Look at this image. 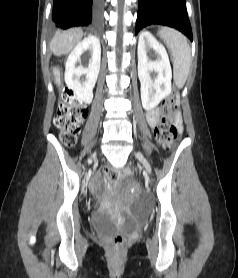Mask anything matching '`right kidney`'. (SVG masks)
Masks as SVG:
<instances>
[{
  "label": "right kidney",
  "mask_w": 238,
  "mask_h": 278,
  "mask_svg": "<svg viewBox=\"0 0 238 278\" xmlns=\"http://www.w3.org/2000/svg\"><path fill=\"white\" fill-rule=\"evenodd\" d=\"M90 49L92 52L89 66L83 68L76 67V63L80 61L82 53ZM101 61L100 41L95 36H88L73 49L67 58L65 64V82L71 88L77 97L87 104L93 99V88L98 78ZM86 75L84 83L80 82V77Z\"/></svg>",
  "instance_id": "1"
}]
</instances>
